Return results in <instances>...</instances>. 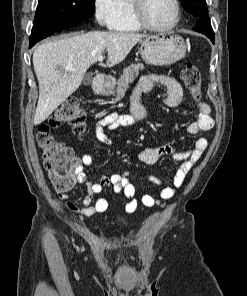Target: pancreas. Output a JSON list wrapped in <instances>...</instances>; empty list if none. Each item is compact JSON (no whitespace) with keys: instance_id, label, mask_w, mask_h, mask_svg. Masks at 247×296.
I'll return each instance as SVG.
<instances>
[{"instance_id":"1","label":"pancreas","mask_w":247,"mask_h":296,"mask_svg":"<svg viewBox=\"0 0 247 296\" xmlns=\"http://www.w3.org/2000/svg\"><path fill=\"white\" fill-rule=\"evenodd\" d=\"M144 69V65L141 63L131 64L129 67L124 69L123 75L117 82V94L116 99L119 100L124 97L129 85L133 83L135 77L139 75V71Z\"/></svg>"}]
</instances>
